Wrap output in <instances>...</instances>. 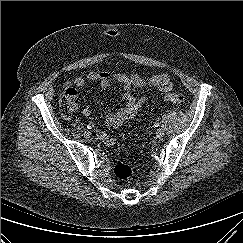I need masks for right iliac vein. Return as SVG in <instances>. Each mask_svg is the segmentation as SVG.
<instances>
[{"label": "right iliac vein", "instance_id": "63e3f726", "mask_svg": "<svg viewBox=\"0 0 243 243\" xmlns=\"http://www.w3.org/2000/svg\"><path fill=\"white\" fill-rule=\"evenodd\" d=\"M84 136H85V138L88 139V140H92V138H93V135H92V133H91L90 131H86V132L84 133Z\"/></svg>", "mask_w": 243, "mask_h": 243}]
</instances>
